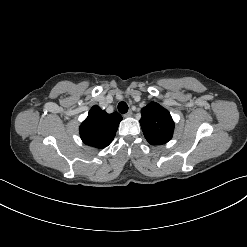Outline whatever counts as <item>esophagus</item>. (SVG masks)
Wrapping results in <instances>:
<instances>
[{"label":"esophagus","mask_w":247,"mask_h":247,"mask_svg":"<svg viewBox=\"0 0 247 247\" xmlns=\"http://www.w3.org/2000/svg\"><path fill=\"white\" fill-rule=\"evenodd\" d=\"M132 111L129 110L127 113L124 114V117H131L132 116Z\"/></svg>","instance_id":"obj_1"}]
</instances>
